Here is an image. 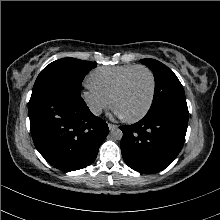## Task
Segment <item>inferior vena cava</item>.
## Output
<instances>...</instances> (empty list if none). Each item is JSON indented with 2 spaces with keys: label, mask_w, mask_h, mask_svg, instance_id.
I'll list each match as a JSON object with an SVG mask.
<instances>
[{
  "label": "inferior vena cava",
  "mask_w": 220,
  "mask_h": 220,
  "mask_svg": "<svg viewBox=\"0 0 220 220\" xmlns=\"http://www.w3.org/2000/svg\"><path fill=\"white\" fill-rule=\"evenodd\" d=\"M91 111L94 115H100L102 112V109L98 107V108H93Z\"/></svg>",
  "instance_id": "obj_1"
}]
</instances>
